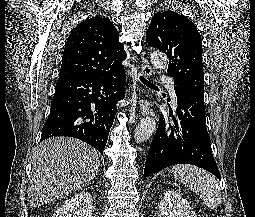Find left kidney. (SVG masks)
Instances as JSON below:
<instances>
[{
    "label": "left kidney",
    "mask_w": 255,
    "mask_h": 217,
    "mask_svg": "<svg viewBox=\"0 0 255 217\" xmlns=\"http://www.w3.org/2000/svg\"><path fill=\"white\" fill-rule=\"evenodd\" d=\"M159 217H197L189 202L175 190H168L164 194L158 209Z\"/></svg>",
    "instance_id": "1"
}]
</instances>
